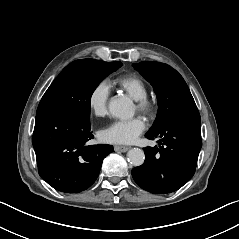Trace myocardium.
<instances>
[{
    "mask_svg": "<svg viewBox=\"0 0 239 239\" xmlns=\"http://www.w3.org/2000/svg\"><path fill=\"white\" fill-rule=\"evenodd\" d=\"M137 109L139 112L153 117L157 111V105L155 101L145 96L137 99Z\"/></svg>",
    "mask_w": 239,
    "mask_h": 239,
    "instance_id": "f54148a6",
    "label": "myocardium"
}]
</instances>
